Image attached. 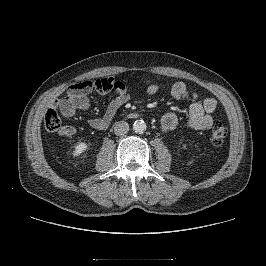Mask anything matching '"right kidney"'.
Returning <instances> with one entry per match:
<instances>
[{
	"label": "right kidney",
	"instance_id": "ca27d5eb",
	"mask_svg": "<svg viewBox=\"0 0 266 266\" xmlns=\"http://www.w3.org/2000/svg\"><path fill=\"white\" fill-rule=\"evenodd\" d=\"M87 149V144L85 142H78L77 144H75L74 146V151L72 153V155L74 157H78L80 156L85 150Z\"/></svg>",
	"mask_w": 266,
	"mask_h": 266
}]
</instances>
